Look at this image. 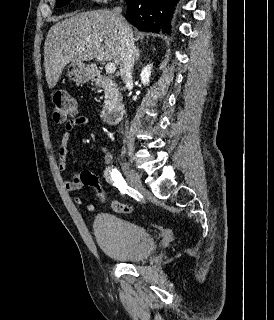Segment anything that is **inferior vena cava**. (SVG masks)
<instances>
[{
    "label": "inferior vena cava",
    "instance_id": "1",
    "mask_svg": "<svg viewBox=\"0 0 274 320\" xmlns=\"http://www.w3.org/2000/svg\"><path fill=\"white\" fill-rule=\"evenodd\" d=\"M112 12L115 20V26L118 30L122 44L120 76L123 82H127V80H131L134 70V38L129 24H127L126 20L121 16L122 8H114Z\"/></svg>",
    "mask_w": 274,
    "mask_h": 320
}]
</instances>
